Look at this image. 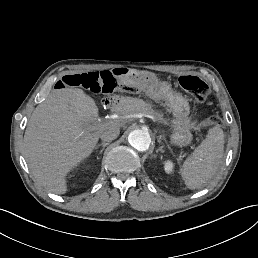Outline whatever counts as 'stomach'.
<instances>
[{
	"label": "stomach",
	"mask_w": 258,
	"mask_h": 258,
	"mask_svg": "<svg viewBox=\"0 0 258 258\" xmlns=\"http://www.w3.org/2000/svg\"><path fill=\"white\" fill-rule=\"evenodd\" d=\"M135 77L139 82H150V77L148 75L136 73ZM157 91L167 98V102L173 114L177 117V120L181 121V126H177L180 127V129L174 131L171 141L177 144L188 143L192 134L188 129V122L186 120L188 113L187 102L180 95L174 94L168 83L160 84Z\"/></svg>",
	"instance_id": "0dacf381"
}]
</instances>
